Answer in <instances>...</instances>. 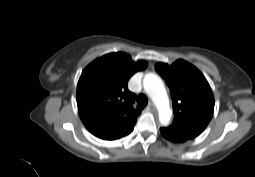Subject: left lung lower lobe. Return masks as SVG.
<instances>
[{
	"mask_svg": "<svg viewBox=\"0 0 255 177\" xmlns=\"http://www.w3.org/2000/svg\"><path fill=\"white\" fill-rule=\"evenodd\" d=\"M160 132H161V134H162L166 139H168V140H170V141H172V142H181V141L177 140L176 138H174V137L170 136L169 134H167L163 128L160 129Z\"/></svg>",
	"mask_w": 255,
	"mask_h": 177,
	"instance_id": "0a47b994",
	"label": "left lung lower lobe"
}]
</instances>
